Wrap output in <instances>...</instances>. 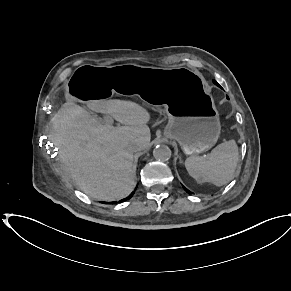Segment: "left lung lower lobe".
<instances>
[{
	"instance_id": "0a47b994",
	"label": "left lung lower lobe",
	"mask_w": 291,
	"mask_h": 291,
	"mask_svg": "<svg viewBox=\"0 0 291 291\" xmlns=\"http://www.w3.org/2000/svg\"><path fill=\"white\" fill-rule=\"evenodd\" d=\"M220 88H221V86L220 85H218ZM228 98V97H227ZM183 188H184V190L187 192V193H191L187 188H185L184 186H183Z\"/></svg>"
}]
</instances>
